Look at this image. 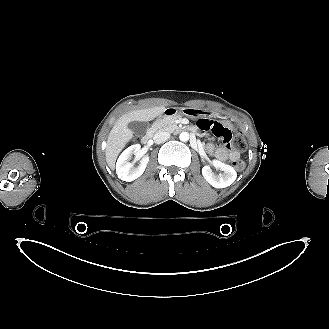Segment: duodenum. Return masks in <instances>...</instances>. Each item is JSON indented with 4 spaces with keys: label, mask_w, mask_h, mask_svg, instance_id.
Returning <instances> with one entry per match:
<instances>
[{
    "label": "duodenum",
    "mask_w": 329,
    "mask_h": 329,
    "mask_svg": "<svg viewBox=\"0 0 329 329\" xmlns=\"http://www.w3.org/2000/svg\"><path fill=\"white\" fill-rule=\"evenodd\" d=\"M177 114V111L176 109L174 108H167L165 111H164V116L166 117H170V116H174ZM152 138V133L151 132H147L143 137H142V142L144 144H148L150 142Z\"/></svg>",
    "instance_id": "duodenum-1"
}]
</instances>
